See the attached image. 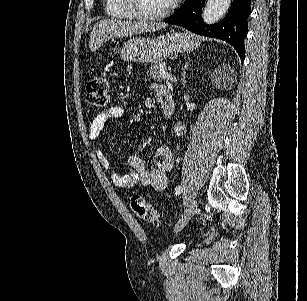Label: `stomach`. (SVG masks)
<instances>
[{"mask_svg":"<svg viewBox=\"0 0 307 301\" xmlns=\"http://www.w3.org/2000/svg\"><path fill=\"white\" fill-rule=\"evenodd\" d=\"M198 42L191 32H167L163 36H133L119 50L122 60L135 62H162L167 56L179 52H191Z\"/></svg>","mask_w":307,"mask_h":301,"instance_id":"1","label":"stomach"}]
</instances>
